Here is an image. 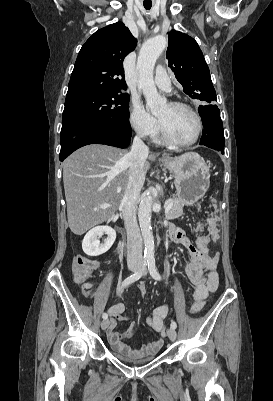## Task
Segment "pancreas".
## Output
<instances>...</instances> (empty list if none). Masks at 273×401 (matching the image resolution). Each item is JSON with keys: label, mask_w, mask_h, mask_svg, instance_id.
Wrapping results in <instances>:
<instances>
[{"label": "pancreas", "mask_w": 273, "mask_h": 401, "mask_svg": "<svg viewBox=\"0 0 273 401\" xmlns=\"http://www.w3.org/2000/svg\"><path fill=\"white\" fill-rule=\"evenodd\" d=\"M168 201L173 202V205H171L172 209L169 210L168 213H165L167 221H169V219H178V217H182L184 213L182 203H180L179 198H168Z\"/></svg>", "instance_id": "obj_1"}]
</instances>
